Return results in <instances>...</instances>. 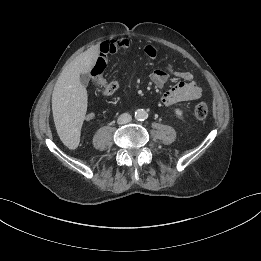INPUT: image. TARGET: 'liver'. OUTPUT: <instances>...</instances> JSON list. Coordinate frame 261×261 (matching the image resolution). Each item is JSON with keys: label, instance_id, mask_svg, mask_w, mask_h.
Masks as SVG:
<instances>
[{"label": "liver", "instance_id": "obj_1", "mask_svg": "<svg viewBox=\"0 0 261 261\" xmlns=\"http://www.w3.org/2000/svg\"><path fill=\"white\" fill-rule=\"evenodd\" d=\"M99 46H93L70 62L60 74L53 93L52 111L61 140L78 134L87 110V90L80 75L89 73L99 56Z\"/></svg>", "mask_w": 261, "mask_h": 261}]
</instances>
